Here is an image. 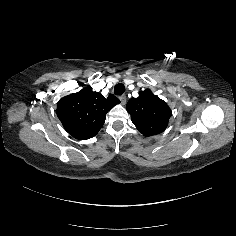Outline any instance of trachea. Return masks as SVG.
Instances as JSON below:
<instances>
[{"mask_svg":"<svg viewBox=\"0 0 236 236\" xmlns=\"http://www.w3.org/2000/svg\"><path fill=\"white\" fill-rule=\"evenodd\" d=\"M125 92V86L123 83H118L115 87H114V93L116 95H122Z\"/></svg>","mask_w":236,"mask_h":236,"instance_id":"trachea-1","label":"trachea"}]
</instances>
